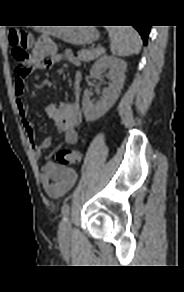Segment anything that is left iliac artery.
Masks as SVG:
<instances>
[{
    "label": "left iliac artery",
    "instance_id": "1",
    "mask_svg": "<svg viewBox=\"0 0 184 292\" xmlns=\"http://www.w3.org/2000/svg\"><path fill=\"white\" fill-rule=\"evenodd\" d=\"M62 215H63V219L66 220L68 215H69V205L68 204H64L62 207Z\"/></svg>",
    "mask_w": 184,
    "mask_h": 292
}]
</instances>
